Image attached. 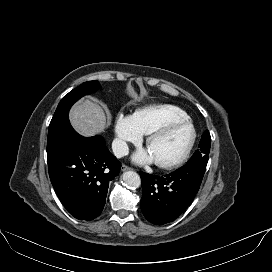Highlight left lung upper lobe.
Returning <instances> with one entry per match:
<instances>
[{
    "instance_id": "obj_1",
    "label": "left lung upper lobe",
    "mask_w": 272,
    "mask_h": 272,
    "mask_svg": "<svg viewBox=\"0 0 272 272\" xmlns=\"http://www.w3.org/2000/svg\"><path fill=\"white\" fill-rule=\"evenodd\" d=\"M210 145H211V137L209 131L206 130L200 140L198 145L199 149L195 151L193 156L187 163L198 162V161H205L208 162V155L210 152Z\"/></svg>"
}]
</instances>
